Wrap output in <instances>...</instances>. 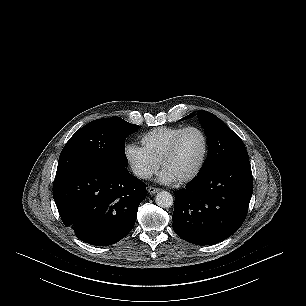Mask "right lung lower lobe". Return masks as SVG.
Segmentation results:
<instances>
[{"instance_id":"1","label":"right lung lower lobe","mask_w":306,"mask_h":306,"mask_svg":"<svg viewBox=\"0 0 306 306\" xmlns=\"http://www.w3.org/2000/svg\"><path fill=\"white\" fill-rule=\"evenodd\" d=\"M146 193V184L124 166H79L56 176L53 185L64 225L96 246L114 244L132 230Z\"/></svg>"}]
</instances>
